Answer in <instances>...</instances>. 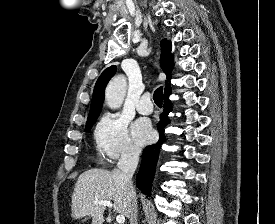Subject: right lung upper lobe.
<instances>
[{"mask_svg": "<svg viewBox=\"0 0 275 224\" xmlns=\"http://www.w3.org/2000/svg\"><path fill=\"white\" fill-rule=\"evenodd\" d=\"M172 62H173V59L171 54V43L170 41H167L166 39H164L161 41L160 63L164 73L167 76L168 81H170V73H171L170 69H171ZM115 72H116V66L114 65L110 66L106 68L98 78L94 87V92H93V97H92V102L90 106L87 123L93 120H96L97 117L99 116L102 109L103 100H104L105 87L108 81L111 79V77L115 74ZM169 88H170V84H168L165 87V91L168 90Z\"/></svg>", "mask_w": 275, "mask_h": 224, "instance_id": "right-lung-upper-lobe-1", "label": "right lung upper lobe"}]
</instances>
